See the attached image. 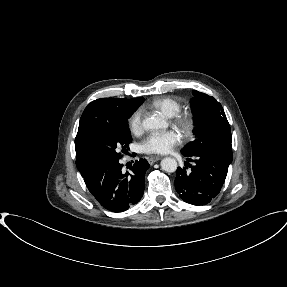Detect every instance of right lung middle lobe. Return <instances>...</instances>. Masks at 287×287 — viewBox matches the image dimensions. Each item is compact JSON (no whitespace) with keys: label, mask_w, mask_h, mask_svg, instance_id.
Segmentation results:
<instances>
[{"label":"right lung middle lobe","mask_w":287,"mask_h":287,"mask_svg":"<svg viewBox=\"0 0 287 287\" xmlns=\"http://www.w3.org/2000/svg\"><path fill=\"white\" fill-rule=\"evenodd\" d=\"M132 113L105 122L96 129L89 142L90 161L95 166L106 161L121 158L119 149L124 153L132 142L128 128V118Z\"/></svg>","instance_id":"obj_1"}]
</instances>
